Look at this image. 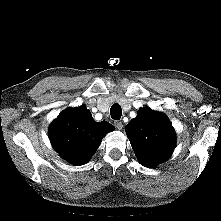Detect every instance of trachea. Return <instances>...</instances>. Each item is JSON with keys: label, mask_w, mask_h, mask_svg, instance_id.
Returning a JSON list of instances; mask_svg holds the SVG:
<instances>
[{"label": "trachea", "mask_w": 221, "mask_h": 221, "mask_svg": "<svg viewBox=\"0 0 221 221\" xmlns=\"http://www.w3.org/2000/svg\"><path fill=\"white\" fill-rule=\"evenodd\" d=\"M110 115H111L112 119L119 120L122 116V109H121L120 105L113 104L110 108Z\"/></svg>", "instance_id": "trachea-1"}]
</instances>
